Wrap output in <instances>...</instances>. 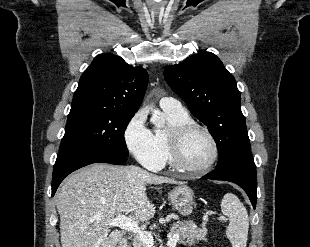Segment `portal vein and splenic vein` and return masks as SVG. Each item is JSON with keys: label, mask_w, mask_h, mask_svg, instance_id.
<instances>
[{"label": "portal vein and splenic vein", "mask_w": 310, "mask_h": 247, "mask_svg": "<svg viewBox=\"0 0 310 247\" xmlns=\"http://www.w3.org/2000/svg\"><path fill=\"white\" fill-rule=\"evenodd\" d=\"M110 227H119L121 229L131 231L136 234L140 240L146 245V247H152L154 245V239L150 232L141 230L139 225L132 219L126 217L125 215H117L116 218L112 219L109 223ZM179 239L178 234L169 236L167 241L168 247H175Z\"/></svg>", "instance_id": "1"}]
</instances>
